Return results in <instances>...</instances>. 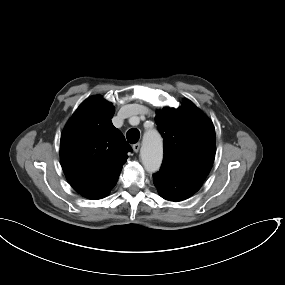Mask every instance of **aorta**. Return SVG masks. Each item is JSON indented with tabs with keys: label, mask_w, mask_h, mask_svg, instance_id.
I'll use <instances>...</instances> for the list:
<instances>
[{
	"label": "aorta",
	"mask_w": 285,
	"mask_h": 285,
	"mask_svg": "<svg viewBox=\"0 0 285 285\" xmlns=\"http://www.w3.org/2000/svg\"><path fill=\"white\" fill-rule=\"evenodd\" d=\"M140 157L145 170L149 173L160 169L163 159V144L160 134L156 130L144 133Z\"/></svg>",
	"instance_id": "1"
}]
</instances>
